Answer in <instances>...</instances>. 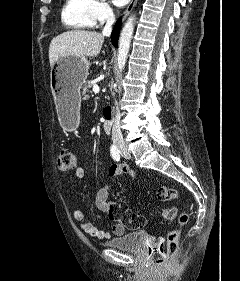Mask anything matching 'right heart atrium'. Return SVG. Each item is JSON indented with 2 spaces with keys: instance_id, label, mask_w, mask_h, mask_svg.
<instances>
[{
  "instance_id": "obj_1",
  "label": "right heart atrium",
  "mask_w": 240,
  "mask_h": 281,
  "mask_svg": "<svg viewBox=\"0 0 240 281\" xmlns=\"http://www.w3.org/2000/svg\"><path fill=\"white\" fill-rule=\"evenodd\" d=\"M94 13L96 21L106 22L113 18L114 10L105 0L95 1Z\"/></svg>"
}]
</instances>
